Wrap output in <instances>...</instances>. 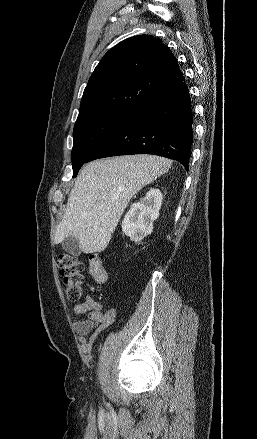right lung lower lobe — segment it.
Here are the masks:
<instances>
[{
    "mask_svg": "<svg viewBox=\"0 0 257 439\" xmlns=\"http://www.w3.org/2000/svg\"><path fill=\"white\" fill-rule=\"evenodd\" d=\"M192 120L189 90L182 81L128 115L86 162L117 155L154 154L174 159L188 169Z\"/></svg>",
    "mask_w": 257,
    "mask_h": 439,
    "instance_id": "obj_1",
    "label": "right lung lower lobe"
}]
</instances>
